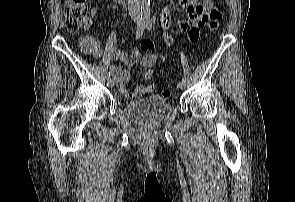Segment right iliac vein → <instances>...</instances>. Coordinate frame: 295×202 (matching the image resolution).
Segmentation results:
<instances>
[{"label": "right iliac vein", "mask_w": 295, "mask_h": 202, "mask_svg": "<svg viewBox=\"0 0 295 202\" xmlns=\"http://www.w3.org/2000/svg\"><path fill=\"white\" fill-rule=\"evenodd\" d=\"M116 84V81L112 78H107V85L110 87H114Z\"/></svg>", "instance_id": "63e3f726"}]
</instances>
